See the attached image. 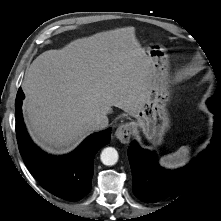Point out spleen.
Instances as JSON below:
<instances>
[{
	"instance_id": "obj_1",
	"label": "spleen",
	"mask_w": 221,
	"mask_h": 221,
	"mask_svg": "<svg viewBox=\"0 0 221 221\" xmlns=\"http://www.w3.org/2000/svg\"><path fill=\"white\" fill-rule=\"evenodd\" d=\"M190 158L189 146L180 147L175 153L165 155L161 158V166L168 169L183 167Z\"/></svg>"
}]
</instances>
